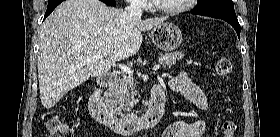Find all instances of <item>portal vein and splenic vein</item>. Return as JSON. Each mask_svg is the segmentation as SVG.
Masks as SVG:
<instances>
[{
  "instance_id": "portal-vein-and-splenic-vein-1",
  "label": "portal vein and splenic vein",
  "mask_w": 280,
  "mask_h": 137,
  "mask_svg": "<svg viewBox=\"0 0 280 137\" xmlns=\"http://www.w3.org/2000/svg\"><path fill=\"white\" fill-rule=\"evenodd\" d=\"M104 56H105V54L99 52V53H97L96 58H102V57H104ZM119 67H120V69H121L123 72L128 73L129 75H131V74L133 73V72L131 71V69H130L129 67L125 66V65L120 64ZM159 68H160V65L157 64V65H155V66L153 67V70L156 71V70H158Z\"/></svg>"
}]
</instances>
